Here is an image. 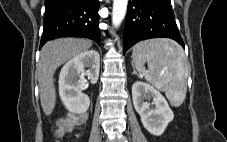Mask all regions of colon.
<instances>
[{
	"label": "colon",
	"mask_w": 227,
	"mask_h": 142,
	"mask_svg": "<svg viewBox=\"0 0 227 142\" xmlns=\"http://www.w3.org/2000/svg\"><path fill=\"white\" fill-rule=\"evenodd\" d=\"M78 123L79 119L75 117L59 120L56 126L57 135L64 136L70 133Z\"/></svg>",
	"instance_id": "colon-1"
}]
</instances>
